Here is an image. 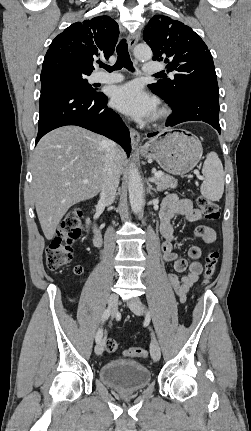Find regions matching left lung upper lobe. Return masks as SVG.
<instances>
[{"instance_id": "5c2ea615", "label": "left lung upper lobe", "mask_w": 251, "mask_h": 431, "mask_svg": "<svg viewBox=\"0 0 251 431\" xmlns=\"http://www.w3.org/2000/svg\"><path fill=\"white\" fill-rule=\"evenodd\" d=\"M143 38L151 47L153 60L167 63L174 76L164 77L149 88L169 105L175 106L189 92L218 91L213 59L204 41L189 27L167 16H154Z\"/></svg>"}]
</instances>
